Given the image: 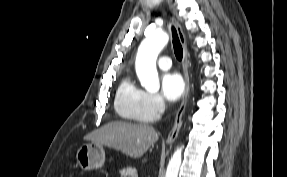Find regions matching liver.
I'll return each instance as SVG.
<instances>
[{
  "label": "liver",
  "mask_w": 287,
  "mask_h": 177,
  "mask_svg": "<svg viewBox=\"0 0 287 177\" xmlns=\"http://www.w3.org/2000/svg\"><path fill=\"white\" fill-rule=\"evenodd\" d=\"M158 138L159 134L150 125L112 121L86 135L84 140L108 146L132 158H139Z\"/></svg>",
  "instance_id": "obj_1"
}]
</instances>
